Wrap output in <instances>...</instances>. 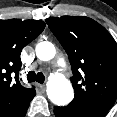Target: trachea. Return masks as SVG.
<instances>
[{
    "instance_id": "obj_1",
    "label": "trachea",
    "mask_w": 117,
    "mask_h": 117,
    "mask_svg": "<svg viewBox=\"0 0 117 117\" xmlns=\"http://www.w3.org/2000/svg\"><path fill=\"white\" fill-rule=\"evenodd\" d=\"M27 80L29 83L37 81L38 83H44L45 76L42 72L35 73L34 71H30L27 74Z\"/></svg>"
}]
</instances>
